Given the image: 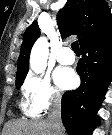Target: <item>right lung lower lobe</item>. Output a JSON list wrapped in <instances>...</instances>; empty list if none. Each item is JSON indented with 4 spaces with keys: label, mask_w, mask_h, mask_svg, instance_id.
<instances>
[{
    "label": "right lung lower lobe",
    "mask_w": 112,
    "mask_h": 135,
    "mask_svg": "<svg viewBox=\"0 0 112 135\" xmlns=\"http://www.w3.org/2000/svg\"><path fill=\"white\" fill-rule=\"evenodd\" d=\"M78 89L62 97V122L68 135H91L99 124L98 108L112 81V31L81 46Z\"/></svg>",
    "instance_id": "1"
}]
</instances>
